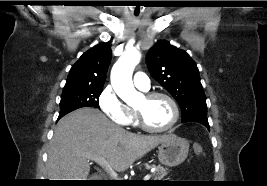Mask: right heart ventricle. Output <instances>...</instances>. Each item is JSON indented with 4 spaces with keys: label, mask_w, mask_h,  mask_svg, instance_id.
Returning <instances> with one entry per match:
<instances>
[{
    "label": "right heart ventricle",
    "mask_w": 267,
    "mask_h": 186,
    "mask_svg": "<svg viewBox=\"0 0 267 186\" xmlns=\"http://www.w3.org/2000/svg\"><path fill=\"white\" fill-rule=\"evenodd\" d=\"M127 113H128L129 124L137 125L138 123H137L135 111L133 109L127 107Z\"/></svg>",
    "instance_id": "e07e8e85"
}]
</instances>
